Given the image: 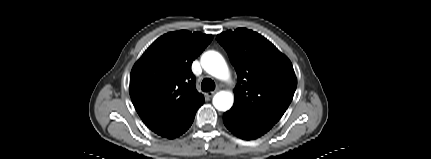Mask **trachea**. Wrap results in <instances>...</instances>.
Instances as JSON below:
<instances>
[{
  "label": "trachea",
  "mask_w": 431,
  "mask_h": 159,
  "mask_svg": "<svg viewBox=\"0 0 431 159\" xmlns=\"http://www.w3.org/2000/svg\"><path fill=\"white\" fill-rule=\"evenodd\" d=\"M201 89L204 92L213 91L215 89V82L210 78L203 79Z\"/></svg>",
  "instance_id": "1"
}]
</instances>
